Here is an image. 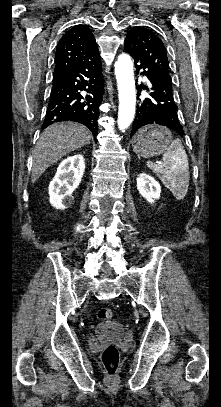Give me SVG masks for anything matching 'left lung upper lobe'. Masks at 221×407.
Segmentation results:
<instances>
[{"instance_id":"left-lung-upper-lobe-1","label":"left lung upper lobe","mask_w":221,"mask_h":407,"mask_svg":"<svg viewBox=\"0 0 221 407\" xmlns=\"http://www.w3.org/2000/svg\"><path fill=\"white\" fill-rule=\"evenodd\" d=\"M135 58L145 63L155 73L169 79V65L162 40L150 29L136 26L126 36Z\"/></svg>"}]
</instances>
